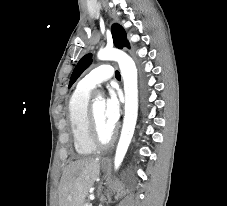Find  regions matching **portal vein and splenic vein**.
<instances>
[{
  "label": "portal vein and splenic vein",
  "mask_w": 227,
  "mask_h": 206,
  "mask_svg": "<svg viewBox=\"0 0 227 206\" xmlns=\"http://www.w3.org/2000/svg\"><path fill=\"white\" fill-rule=\"evenodd\" d=\"M86 206H92V205H90V204H87Z\"/></svg>",
  "instance_id": "obj_1"
}]
</instances>
